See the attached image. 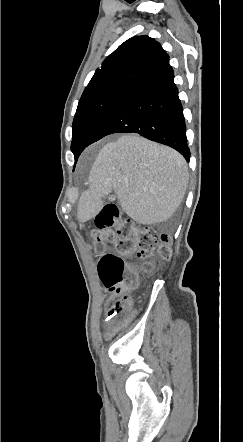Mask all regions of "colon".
I'll return each mask as SVG.
<instances>
[{
    "instance_id": "1",
    "label": "colon",
    "mask_w": 243,
    "mask_h": 442,
    "mask_svg": "<svg viewBox=\"0 0 243 442\" xmlns=\"http://www.w3.org/2000/svg\"><path fill=\"white\" fill-rule=\"evenodd\" d=\"M95 229L91 238L94 250L101 257L98 273L103 288L110 294L109 307L113 312L114 326L127 323L134 314L129 293L135 290L141 279L142 270L150 267L148 263L128 264L122 258L135 252L142 259L156 257L169 260L172 256V243L166 233H158L152 227L134 229L133 224L122 219L116 202L105 203L95 216Z\"/></svg>"
}]
</instances>
